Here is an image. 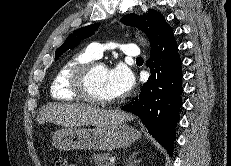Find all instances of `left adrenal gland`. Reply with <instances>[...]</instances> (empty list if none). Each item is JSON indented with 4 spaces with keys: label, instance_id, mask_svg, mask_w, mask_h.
<instances>
[{
    "label": "left adrenal gland",
    "instance_id": "obj_1",
    "mask_svg": "<svg viewBox=\"0 0 231 166\" xmlns=\"http://www.w3.org/2000/svg\"><path fill=\"white\" fill-rule=\"evenodd\" d=\"M139 154V152H134L132 155L129 156V158L126 160L125 166H136V164L140 161L136 159V156Z\"/></svg>",
    "mask_w": 231,
    "mask_h": 166
}]
</instances>
